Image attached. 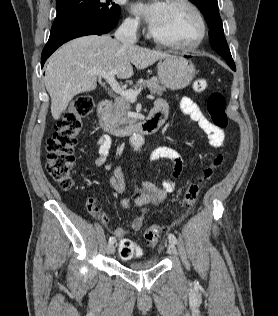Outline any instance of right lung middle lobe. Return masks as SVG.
I'll return each mask as SVG.
<instances>
[{"mask_svg": "<svg viewBox=\"0 0 278 316\" xmlns=\"http://www.w3.org/2000/svg\"><path fill=\"white\" fill-rule=\"evenodd\" d=\"M111 1L57 0V15L51 30L92 19L110 20L119 18L120 7Z\"/></svg>", "mask_w": 278, "mask_h": 316, "instance_id": "right-lung-middle-lobe-1", "label": "right lung middle lobe"}]
</instances>
